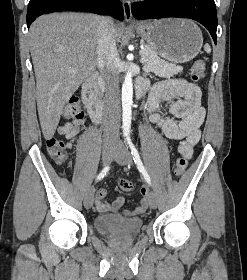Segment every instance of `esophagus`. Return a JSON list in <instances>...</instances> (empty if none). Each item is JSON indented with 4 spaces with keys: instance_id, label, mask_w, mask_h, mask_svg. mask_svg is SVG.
Instances as JSON below:
<instances>
[{
    "instance_id": "esophagus-1",
    "label": "esophagus",
    "mask_w": 247,
    "mask_h": 280,
    "mask_svg": "<svg viewBox=\"0 0 247 280\" xmlns=\"http://www.w3.org/2000/svg\"><path fill=\"white\" fill-rule=\"evenodd\" d=\"M123 10H124V18L126 22H134L132 10H131V2L130 0H124L123 2Z\"/></svg>"
}]
</instances>
